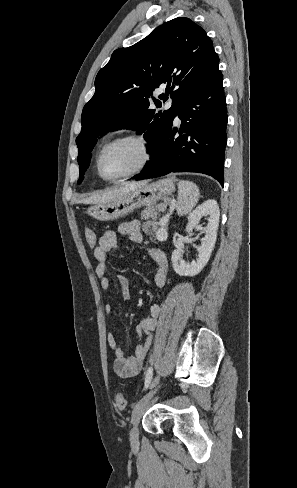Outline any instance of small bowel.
<instances>
[{"mask_svg": "<svg viewBox=\"0 0 297 488\" xmlns=\"http://www.w3.org/2000/svg\"><path fill=\"white\" fill-rule=\"evenodd\" d=\"M118 233L127 236L130 241L134 243H143L145 237L141 231V225L137 221L123 222L118 226ZM119 248L117 235L114 231L108 230L98 239L97 246L94 248V257L97 261L96 276L99 279L100 286L103 290L109 289L111 285L110 279L107 277L108 256L110 253L116 252ZM154 267V283L155 286L164 290L168 283L169 276V262L165 253L157 248H147ZM117 281L120 286L121 296L124 300H129L131 297V286L128 279L123 275L117 276ZM106 315L113 313L111 305L105 306ZM162 313V306L154 304L150 307L149 317L144 318L137 326L139 335H146L147 340L137 346L135 351L129 355L119 347L115 341L113 332L108 337V346L114 354L113 369L117 376L121 378H131L137 376L144 364L148 355L153 332L158 326V318Z\"/></svg>", "mask_w": 297, "mask_h": 488, "instance_id": "c3829d8e", "label": "small bowel"}]
</instances>
